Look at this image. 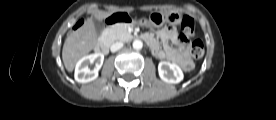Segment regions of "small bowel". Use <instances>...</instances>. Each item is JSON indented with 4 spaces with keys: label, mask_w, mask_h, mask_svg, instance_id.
Segmentation results:
<instances>
[{
    "label": "small bowel",
    "mask_w": 276,
    "mask_h": 120,
    "mask_svg": "<svg viewBox=\"0 0 276 120\" xmlns=\"http://www.w3.org/2000/svg\"><path fill=\"white\" fill-rule=\"evenodd\" d=\"M144 35L149 39L147 44L156 58L178 64L185 71H190L193 68V60L188 53L187 39L174 28L160 29L156 32V36L152 33H144Z\"/></svg>",
    "instance_id": "1"
}]
</instances>
